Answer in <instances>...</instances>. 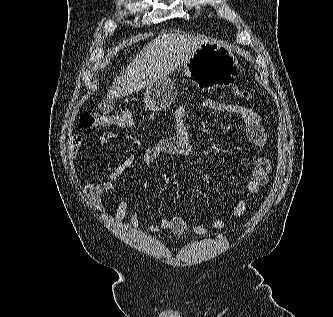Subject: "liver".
Returning <instances> with one entry per match:
<instances>
[{
	"mask_svg": "<svg viewBox=\"0 0 333 317\" xmlns=\"http://www.w3.org/2000/svg\"><path fill=\"white\" fill-rule=\"evenodd\" d=\"M203 35L162 34L148 43L109 88L107 99L135 93L157 79L167 77L186 62L197 47L209 41Z\"/></svg>",
	"mask_w": 333,
	"mask_h": 317,
	"instance_id": "1",
	"label": "liver"
}]
</instances>
